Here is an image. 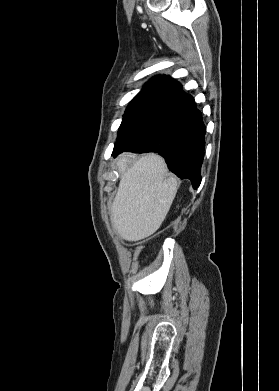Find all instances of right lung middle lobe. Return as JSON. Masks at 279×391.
Segmentation results:
<instances>
[{
    "label": "right lung middle lobe",
    "instance_id": "obj_1",
    "mask_svg": "<svg viewBox=\"0 0 279 391\" xmlns=\"http://www.w3.org/2000/svg\"><path fill=\"white\" fill-rule=\"evenodd\" d=\"M161 110L159 108L127 109L118 131L114 150L124 146L144 131Z\"/></svg>",
    "mask_w": 279,
    "mask_h": 391
}]
</instances>
